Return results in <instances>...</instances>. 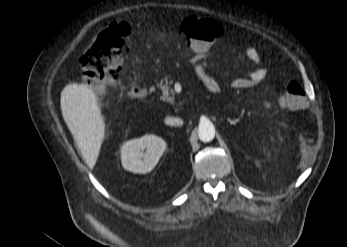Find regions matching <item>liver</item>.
Here are the masks:
<instances>
[{"label":"liver","instance_id":"1","mask_svg":"<svg viewBox=\"0 0 347 247\" xmlns=\"http://www.w3.org/2000/svg\"><path fill=\"white\" fill-rule=\"evenodd\" d=\"M61 110L84 160L93 169L105 137L97 94L86 84L69 83L61 92Z\"/></svg>","mask_w":347,"mask_h":247}]
</instances>
